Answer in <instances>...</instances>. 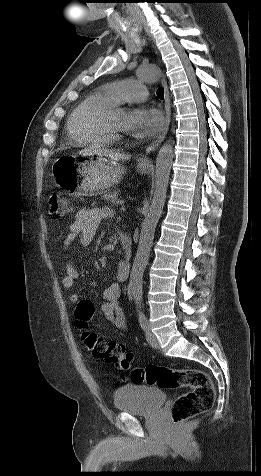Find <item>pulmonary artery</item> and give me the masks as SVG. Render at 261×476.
Instances as JSON below:
<instances>
[{
	"label": "pulmonary artery",
	"instance_id": "e3ab8cb5",
	"mask_svg": "<svg viewBox=\"0 0 261 476\" xmlns=\"http://www.w3.org/2000/svg\"><path fill=\"white\" fill-rule=\"evenodd\" d=\"M104 90L118 103L140 102L148 98L146 86L137 80H123L105 86Z\"/></svg>",
	"mask_w": 261,
	"mask_h": 476
}]
</instances>
